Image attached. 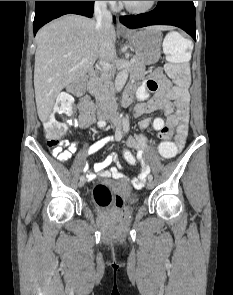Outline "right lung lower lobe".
<instances>
[{
    "mask_svg": "<svg viewBox=\"0 0 233 295\" xmlns=\"http://www.w3.org/2000/svg\"><path fill=\"white\" fill-rule=\"evenodd\" d=\"M94 1H36L34 35L44 24L67 13L93 15Z\"/></svg>",
    "mask_w": 233,
    "mask_h": 295,
    "instance_id": "right-lung-lower-lobe-1",
    "label": "right lung lower lobe"
}]
</instances>
